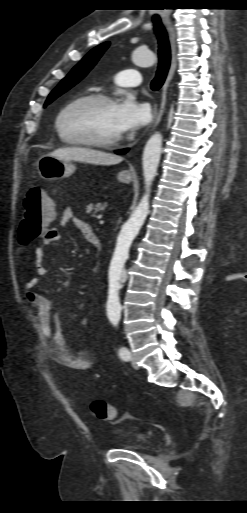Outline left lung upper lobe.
Here are the masks:
<instances>
[{
	"label": "left lung upper lobe",
	"instance_id": "obj_1",
	"mask_svg": "<svg viewBox=\"0 0 247 513\" xmlns=\"http://www.w3.org/2000/svg\"><path fill=\"white\" fill-rule=\"evenodd\" d=\"M108 46L109 42H105L92 49L50 93L44 104V107L65 93L75 84H77L81 79H83L86 74L94 67Z\"/></svg>",
	"mask_w": 247,
	"mask_h": 513
}]
</instances>
